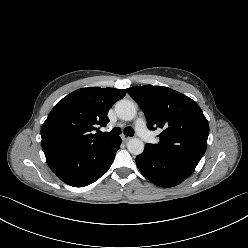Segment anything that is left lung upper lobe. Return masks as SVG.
<instances>
[{
	"mask_svg": "<svg viewBox=\"0 0 248 248\" xmlns=\"http://www.w3.org/2000/svg\"><path fill=\"white\" fill-rule=\"evenodd\" d=\"M126 91L145 113L149 129H163L159 143L146 147L164 156L198 164L209 134L208 121L198 104L163 86L145 85Z\"/></svg>",
	"mask_w": 248,
	"mask_h": 248,
	"instance_id": "left-lung-upper-lobe-1",
	"label": "left lung upper lobe"
}]
</instances>
